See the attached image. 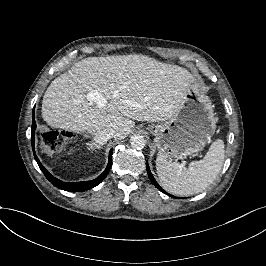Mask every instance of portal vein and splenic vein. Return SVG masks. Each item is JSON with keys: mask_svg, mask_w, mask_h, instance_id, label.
<instances>
[{"mask_svg": "<svg viewBox=\"0 0 266 266\" xmlns=\"http://www.w3.org/2000/svg\"><path fill=\"white\" fill-rule=\"evenodd\" d=\"M86 99L89 102H95L97 108L99 109L105 107L107 104V100L97 90H93L87 93ZM126 103L132 105V103L129 100H126Z\"/></svg>", "mask_w": 266, "mask_h": 266, "instance_id": "18ae733b", "label": "portal vein and splenic vein"}]
</instances>
